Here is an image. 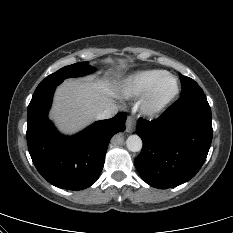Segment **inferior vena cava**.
I'll return each instance as SVG.
<instances>
[{"label":"inferior vena cava","instance_id":"602c4592","mask_svg":"<svg viewBox=\"0 0 233 233\" xmlns=\"http://www.w3.org/2000/svg\"><path fill=\"white\" fill-rule=\"evenodd\" d=\"M118 112V108L116 105H110L108 106L104 111L98 113L96 115L97 120H103V119H108L116 115Z\"/></svg>","mask_w":233,"mask_h":233}]
</instances>
